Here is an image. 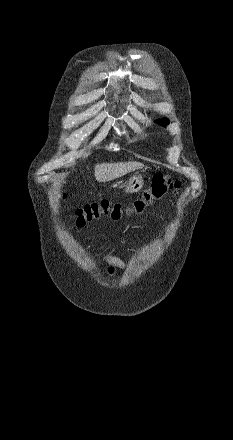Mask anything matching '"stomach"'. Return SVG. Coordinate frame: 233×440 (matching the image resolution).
I'll return each instance as SVG.
<instances>
[{"mask_svg":"<svg viewBox=\"0 0 233 440\" xmlns=\"http://www.w3.org/2000/svg\"><path fill=\"white\" fill-rule=\"evenodd\" d=\"M143 185V177L141 175H133L121 185V188H124L127 193H134L140 191Z\"/></svg>","mask_w":233,"mask_h":440,"instance_id":"obj_1","label":"stomach"}]
</instances>
